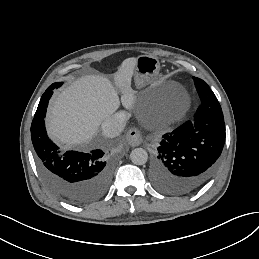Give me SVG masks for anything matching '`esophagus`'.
I'll use <instances>...</instances> for the list:
<instances>
[{
    "mask_svg": "<svg viewBox=\"0 0 259 259\" xmlns=\"http://www.w3.org/2000/svg\"><path fill=\"white\" fill-rule=\"evenodd\" d=\"M126 139L131 146H139L143 141L140 131L136 128H131L128 131Z\"/></svg>",
    "mask_w": 259,
    "mask_h": 259,
    "instance_id": "obj_1",
    "label": "esophagus"
}]
</instances>
